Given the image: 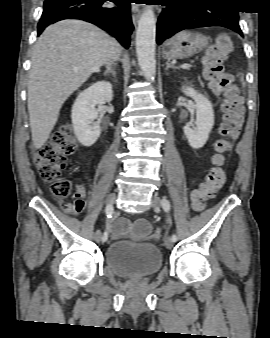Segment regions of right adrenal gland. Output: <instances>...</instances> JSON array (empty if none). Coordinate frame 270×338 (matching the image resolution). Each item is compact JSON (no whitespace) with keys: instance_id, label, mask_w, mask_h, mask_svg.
Here are the masks:
<instances>
[{"instance_id":"obj_1","label":"right adrenal gland","mask_w":270,"mask_h":338,"mask_svg":"<svg viewBox=\"0 0 270 338\" xmlns=\"http://www.w3.org/2000/svg\"><path fill=\"white\" fill-rule=\"evenodd\" d=\"M111 74L114 78L116 77L115 65H111L110 63L106 64V70L104 71V75Z\"/></svg>"}]
</instances>
